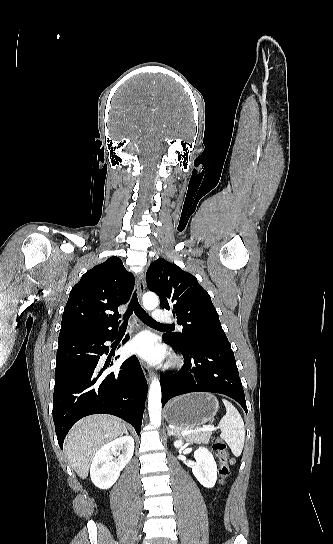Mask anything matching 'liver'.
Instances as JSON below:
<instances>
[{
  "label": "liver",
  "instance_id": "1",
  "mask_svg": "<svg viewBox=\"0 0 333 544\" xmlns=\"http://www.w3.org/2000/svg\"><path fill=\"white\" fill-rule=\"evenodd\" d=\"M124 424L113 416H89L77 422L68 433L65 452L71 467L82 479L87 478L96 452L122 435Z\"/></svg>",
  "mask_w": 333,
  "mask_h": 544
}]
</instances>
